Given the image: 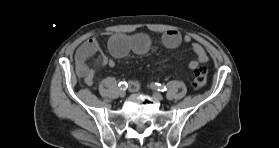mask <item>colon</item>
Masks as SVG:
<instances>
[{"mask_svg":"<svg viewBox=\"0 0 279 148\" xmlns=\"http://www.w3.org/2000/svg\"><path fill=\"white\" fill-rule=\"evenodd\" d=\"M208 78V69L205 66L196 68L192 81V86L195 89H201L206 86Z\"/></svg>","mask_w":279,"mask_h":148,"instance_id":"1","label":"colon"}]
</instances>
